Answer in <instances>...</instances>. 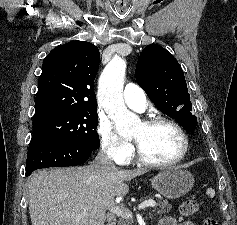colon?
Segmentation results:
<instances>
[{
  "mask_svg": "<svg viewBox=\"0 0 237 225\" xmlns=\"http://www.w3.org/2000/svg\"><path fill=\"white\" fill-rule=\"evenodd\" d=\"M198 209L199 206L197 202L192 199L184 200L179 207L180 213L184 217L194 215L198 211ZM204 225H217V222L212 218H208L206 219Z\"/></svg>",
  "mask_w": 237,
  "mask_h": 225,
  "instance_id": "1",
  "label": "colon"
}]
</instances>
